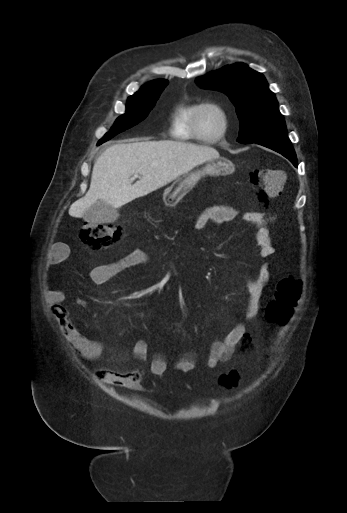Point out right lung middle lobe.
Masks as SVG:
<instances>
[{
  "label": "right lung middle lobe",
  "mask_w": 347,
  "mask_h": 513,
  "mask_svg": "<svg viewBox=\"0 0 347 513\" xmlns=\"http://www.w3.org/2000/svg\"><path fill=\"white\" fill-rule=\"evenodd\" d=\"M167 83L166 80L152 81L130 96L125 114L115 121L110 131L100 140L101 144L145 119Z\"/></svg>",
  "instance_id": "dd1d6c3e"
}]
</instances>
